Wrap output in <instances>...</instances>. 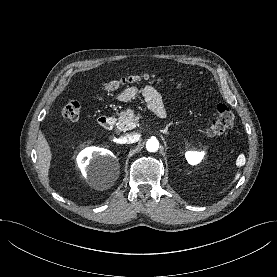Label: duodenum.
I'll return each mask as SVG.
<instances>
[{"label":"duodenum","instance_id":"duodenum-1","mask_svg":"<svg viewBox=\"0 0 277 277\" xmlns=\"http://www.w3.org/2000/svg\"><path fill=\"white\" fill-rule=\"evenodd\" d=\"M99 125L107 130H110L114 126V119L110 116H101L98 119Z\"/></svg>","mask_w":277,"mask_h":277}]
</instances>
